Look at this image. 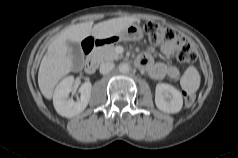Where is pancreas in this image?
<instances>
[{"instance_id":"1","label":"pancreas","mask_w":238,"mask_h":158,"mask_svg":"<svg viewBox=\"0 0 238 158\" xmlns=\"http://www.w3.org/2000/svg\"><path fill=\"white\" fill-rule=\"evenodd\" d=\"M92 56L97 63H103L105 61H113L122 58L121 55L115 52V46L113 44L105 45L94 50Z\"/></svg>"}]
</instances>
